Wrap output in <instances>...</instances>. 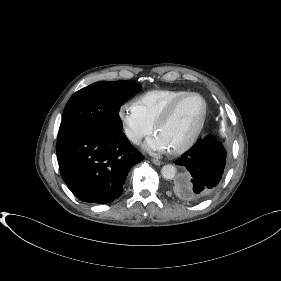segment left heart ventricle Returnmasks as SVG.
<instances>
[{"label":"left heart ventricle","mask_w":281,"mask_h":281,"mask_svg":"<svg viewBox=\"0 0 281 281\" xmlns=\"http://www.w3.org/2000/svg\"><path fill=\"white\" fill-rule=\"evenodd\" d=\"M203 105L198 97L184 99L174 110L171 117L159 128L156 135L168 150L187 142L198 127Z\"/></svg>","instance_id":"obj_1"}]
</instances>
